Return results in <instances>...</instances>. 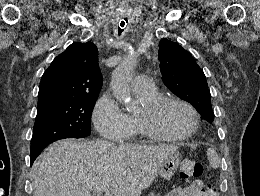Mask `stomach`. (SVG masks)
<instances>
[{
	"label": "stomach",
	"mask_w": 260,
	"mask_h": 196,
	"mask_svg": "<svg viewBox=\"0 0 260 196\" xmlns=\"http://www.w3.org/2000/svg\"><path fill=\"white\" fill-rule=\"evenodd\" d=\"M180 164V154H171V156H167L164 158L162 162V166H160V170L158 172L160 178H164V180H171L172 176L176 174L177 168Z\"/></svg>",
	"instance_id": "stomach-1"
}]
</instances>
